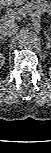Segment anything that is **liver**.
Listing matches in <instances>:
<instances>
[{
  "mask_svg": "<svg viewBox=\"0 0 51 153\" xmlns=\"http://www.w3.org/2000/svg\"><path fill=\"white\" fill-rule=\"evenodd\" d=\"M27 0H0L1 7L3 6H12L13 4H22Z\"/></svg>",
  "mask_w": 51,
  "mask_h": 153,
  "instance_id": "1",
  "label": "liver"
}]
</instances>
